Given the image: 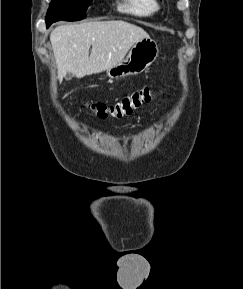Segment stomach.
Here are the masks:
<instances>
[{
  "mask_svg": "<svg viewBox=\"0 0 243 289\" xmlns=\"http://www.w3.org/2000/svg\"><path fill=\"white\" fill-rule=\"evenodd\" d=\"M158 57V46L150 37L137 41L125 59L106 69L110 78H122L144 72Z\"/></svg>",
  "mask_w": 243,
  "mask_h": 289,
  "instance_id": "obj_1",
  "label": "stomach"
}]
</instances>
